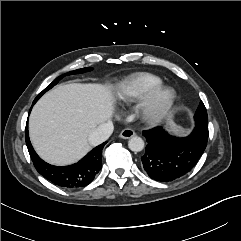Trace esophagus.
I'll return each instance as SVG.
<instances>
[{
    "mask_svg": "<svg viewBox=\"0 0 241 241\" xmlns=\"http://www.w3.org/2000/svg\"><path fill=\"white\" fill-rule=\"evenodd\" d=\"M135 135V131L133 129H130V128H126V129H123L120 133V137L122 139H129L131 137H133Z\"/></svg>",
    "mask_w": 241,
    "mask_h": 241,
    "instance_id": "esophagus-1",
    "label": "esophagus"
}]
</instances>
